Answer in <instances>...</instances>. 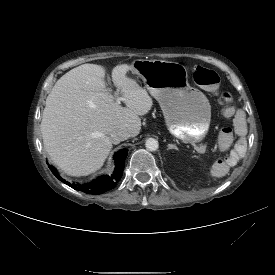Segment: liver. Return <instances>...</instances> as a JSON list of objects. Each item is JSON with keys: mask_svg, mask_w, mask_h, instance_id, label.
<instances>
[{"mask_svg": "<svg viewBox=\"0 0 275 275\" xmlns=\"http://www.w3.org/2000/svg\"><path fill=\"white\" fill-rule=\"evenodd\" d=\"M131 68L119 64L111 75L126 107L109 93L105 68L100 65L78 66L54 85L40 127L46 152L66 174L86 176L100 169L111 151L114 130L126 128L130 137L140 133L139 116L151 110L153 101L127 76Z\"/></svg>", "mask_w": 275, "mask_h": 275, "instance_id": "1", "label": "liver"}]
</instances>
